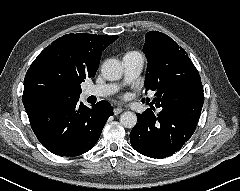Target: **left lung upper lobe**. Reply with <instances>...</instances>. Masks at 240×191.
I'll return each instance as SVG.
<instances>
[{"label": "left lung upper lobe", "instance_id": "left-lung-upper-lobe-1", "mask_svg": "<svg viewBox=\"0 0 240 191\" xmlns=\"http://www.w3.org/2000/svg\"><path fill=\"white\" fill-rule=\"evenodd\" d=\"M145 40L143 51L148 60L145 87L146 93L155 92L152 104L157 108L168 106L193 87L203 89L197 69L173 39L161 32L150 31Z\"/></svg>", "mask_w": 240, "mask_h": 191}]
</instances>
